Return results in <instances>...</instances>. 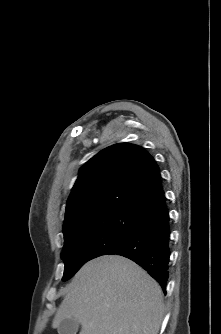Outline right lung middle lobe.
Instances as JSON below:
<instances>
[{
    "label": "right lung middle lobe",
    "mask_w": 221,
    "mask_h": 334,
    "mask_svg": "<svg viewBox=\"0 0 221 334\" xmlns=\"http://www.w3.org/2000/svg\"><path fill=\"white\" fill-rule=\"evenodd\" d=\"M139 215L114 211L82 220L64 234L62 280L70 279L87 261L105 255L129 232Z\"/></svg>",
    "instance_id": "obj_1"
}]
</instances>
